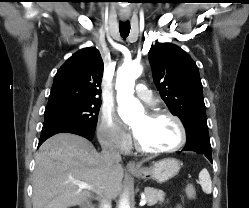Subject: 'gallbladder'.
<instances>
[{
	"label": "gallbladder",
	"instance_id": "bac80fb5",
	"mask_svg": "<svg viewBox=\"0 0 249 208\" xmlns=\"http://www.w3.org/2000/svg\"><path fill=\"white\" fill-rule=\"evenodd\" d=\"M86 207V202L81 204V208H85Z\"/></svg>",
	"mask_w": 249,
	"mask_h": 208
}]
</instances>
